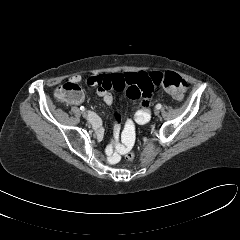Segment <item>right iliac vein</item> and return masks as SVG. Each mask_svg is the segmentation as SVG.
<instances>
[{
    "label": "right iliac vein",
    "instance_id": "right-iliac-vein-1",
    "mask_svg": "<svg viewBox=\"0 0 240 240\" xmlns=\"http://www.w3.org/2000/svg\"><path fill=\"white\" fill-rule=\"evenodd\" d=\"M82 116H83L84 118H87V117H88L87 112H86V111H83V112H82Z\"/></svg>",
    "mask_w": 240,
    "mask_h": 240
}]
</instances>
